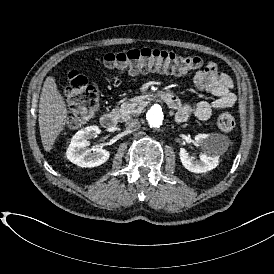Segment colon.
Returning <instances> with one entry per match:
<instances>
[{
    "label": "colon",
    "mask_w": 274,
    "mask_h": 274,
    "mask_svg": "<svg viewBox=\"0 0 274 274\" xmlns=\"http://www.w3.org/2000/svg\"><path fill=\"white\" fill-rule=\"evenodd\" d=\"M101 63L121 72L138 73L158 70L166 73L183 74L203 67L204 62L197 55H183L169 50L142 48L106 54ZM68 85L65 96L72 113L68 117L71 126H77L87 115L94 114L99 108L97 88L88 83L76 70L68 72ZM216 126L223 132L236 127V118L230 111H221L216 117Z\"/></svg>",
    "instance_id": "1"
}]
</instances>
